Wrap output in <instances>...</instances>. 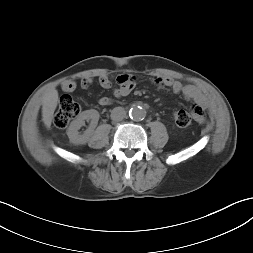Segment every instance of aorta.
<instances>
[{
    "instance_id": "762f6f07",
    "label": "aorta",
    "mask_w": 253,
    "mask_h": 253,
    "mask_svg": "<svg viewBox=\"0 0 253 253\" xmlns=\"http://www.w3.org/2000/svg\"><path fill=\"white\" fill-rule=\"evenodd\" d=\"M129 116L134 121H141L146 116V111L141 106H133L129 111Z\"/></svg>"
}]
</instances>
